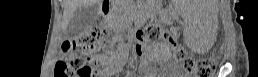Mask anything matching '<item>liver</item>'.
Here are the masks:
<instances>
[{"instance_id": "1", "label": "liver", "mask_w": 258, "mask_h": 77, "mask_svg": "<svg viewBox=\"0 0 258 77\" xmlns=\"http://www.w3.org/2000/svg\"><path fill=\"white\" fill-rule=\"evenodd\" d=\"M99 0H64L63 26L66 28L74 13L82 7L99 3Z\"/></svg>"}]
</instances>
